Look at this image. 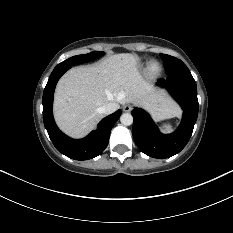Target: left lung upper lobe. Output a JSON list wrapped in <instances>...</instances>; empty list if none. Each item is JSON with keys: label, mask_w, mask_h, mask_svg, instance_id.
<instances>
[{"label": "left lung upper lobe", "mask_w": 233, "mask_h": 233, "mask_svg": "<svg viewBox=\"0 0 233 233\" xmlns=\"http://www.w3.org/2000/svg\"><path fill=\"white\" fill-rule=\"evenodd\" d=\"M161 57L168 76L191 74L187 66L178 58L166 54H161Z\"/></svg>", "instance_id": "1"}]
</instances>
